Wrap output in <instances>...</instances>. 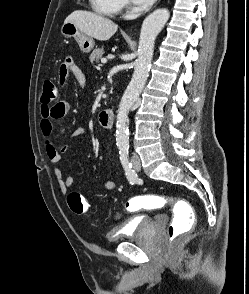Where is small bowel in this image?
<instances>
[{"label": "small bowel", "instance_id": "small-bowel-1", "mask_svg": "<svg viewBox=\"0 0 249 294\" xmlns=\"http://www.w3.org/2000/svg\"><path fill=\"white\" fill-rule=\"evenodd\" d=\"M62 65H66V69L60 68V83L65 86L68 82L69 75L72 74L78 83H84V75L81 70L74 64L71 57L66 58ZM71 107L70 101L61 99L53 104L42 103L40 106V130L44 136L45 149L48 160L53 164H58L61 161L62 153L68 151L67 145L57 146L55 143V122L64 118ZM87 131L84 128H77L68 134L69 139L77 137H87ZM54 177L58 183L60 190L65 193L71 188L75 179L73 176H65L61 168L55 167L53 170ZM104 188L107 191H114L117 188L116 182L108 180L104 183Z\"/></svg>", "mask_w": 249, "mask_h": 294}]
</instances>
